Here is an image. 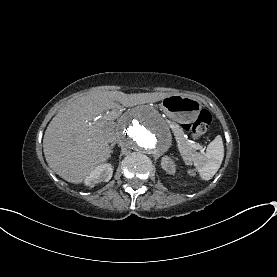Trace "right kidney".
<instances>
[{
  "instance_id": "1",
  "label": "right kidney",
  "mask_w": 277,
  "mask_h": 277,
  "mask_svg": "<svg viewBox=\"0 0 277 277\" xmlns=\"http://www.w3.org/2000/svg\"><path fill=\"white\" fill-rule=\"evenodd\" d=\"M113 169L110 165H102L96 168V170L86 177V184H96L99 182H109L112 178Z\"/></svg>"
}]
</instances>
